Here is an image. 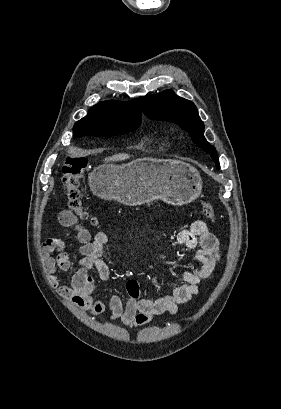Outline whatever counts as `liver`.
Returning <instances> with one entry per match:
<instances>
[{
	"instance_id": "obj_1",
	"label": "liver",
	"mask_w": 281,
	"mask_h": 409,
	"mask_svg": "<svg viewBox=\"0 0 281 409\" xmlns=\"http://www.w3.org/2000/svg\"><path fill=\"white\" fill-rule=\"evenodd\" d=\"M125 158H129V154H113V156H108L105 160H125Z\"/></svg>"
}]
</instances>
